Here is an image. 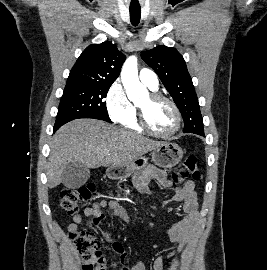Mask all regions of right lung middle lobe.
Masks as SVG:
<instances>
[{
  "label": "right lung middle lobe",
  "mask_w": 267,
  "mask_h": 270,
  "mask_svg": "<svg viewBox=\"0 0 267 270\" xmlns=\"http://www.w3.org/2000/svg\"><path fill=\"white\" fill-rule=\"evenodd\" d=\"M111 85L67 82L55 124H65L78 118H94L111 122L106 102L103 100Z\"/></svg>",
  "instance_id": "dd1d6c3e"
}]
</instances>
